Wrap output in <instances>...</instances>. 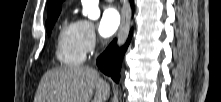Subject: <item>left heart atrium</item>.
<instances>
[{"instance_id":"1","label":"left heart atrium","mask_w":221,"mask_h":102,"mask_svg":"<svg viewBox=\"0 0 221 102\" xmlns=\"http://www.w3.org/2000/svg\"><path fill=\"white\" fill-rule=\"evenodd\" d=\"M121 25V16L114 7H107L100 21V32L104 37H109L116 32Z\"/></svg>"}]
</instances>
